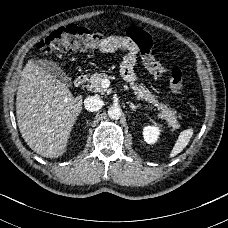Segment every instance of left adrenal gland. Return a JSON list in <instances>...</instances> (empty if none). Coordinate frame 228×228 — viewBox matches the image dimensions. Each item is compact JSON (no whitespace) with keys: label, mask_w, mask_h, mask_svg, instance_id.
Listing matches in <instances>:
<instances>
[{"label":"left adrenal gland","mask_w":228,"mask_h":228,"mask_svg":"<svg viewBox=\"0 0 228 228\" xmlns=\"http://www.w3.org/2000/svg\"><path fill=\"white\" fill-rule=\"evenodd\" d=\"M128 103H129L130 108H131L133 111H135V110L139 107V104H138V105H135V104L132 103V102H128Z\"/></svg>","instance_id":"obj_1"}]
</instances>
